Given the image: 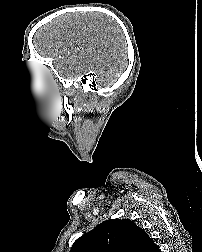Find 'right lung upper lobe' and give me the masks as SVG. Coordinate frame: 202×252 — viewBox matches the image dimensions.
Wrapping results in <instances>:
<instances>
[{"label": "right lung upper lobe", "instance_id": "1", "mask_svg": "<svg viewBox=\"0 0 202 252\" xmlns=\"http://www.w3.org/2000/svg\"><path fill=\"white\" fill-rule=\"evenodd\" d=\"M70 252H161L130 219H110L78 238Z\"/></svg>", "mask_w": 202, "mask_h": 252}]
</instances>
